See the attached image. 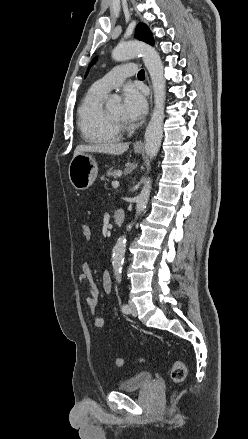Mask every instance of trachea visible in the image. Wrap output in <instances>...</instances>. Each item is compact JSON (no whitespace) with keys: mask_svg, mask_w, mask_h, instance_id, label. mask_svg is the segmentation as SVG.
I'll list each match as a JSON object with an SVG mask.
<instances>
[{"mask_svg":"<svg viewBox=\"0 0 248 439\" xmlns=\"http://www.w3.org/2000/svg\"><path fill=\"white\" fill-rule=\"evenodd\" d=\"M138 77H145V72H144V70L142 69V70H140L139 72H138V75H137Z\"/></svg>","mask_w":248,"mask_h":439,"instance_id":"1","label":"trachea"}]
</instances>
